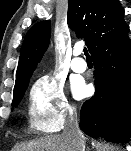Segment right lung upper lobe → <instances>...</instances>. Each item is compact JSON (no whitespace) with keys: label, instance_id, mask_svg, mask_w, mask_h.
<instances>
[{"label":"right lung upper lobe","instance_id":"right-lung-upper-lobe-1","mask_svg":"<svg viewBox=\"0 0 131 151\" xmlns=\"http://www.w3.org/2000/svg\"><path fill=\"white\" fill-rule=\"evenodd\" d=\"M119 0H69L68 24L78 37H84L90 53L129 30ZM50 21L36 23L25 36L16 72L14 90L29 83L37 64L47 50Z\"/></svg>","mask_w":131,"mask_h":151}]
</instances>
